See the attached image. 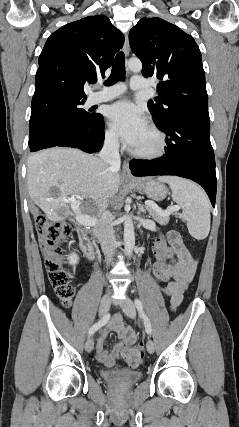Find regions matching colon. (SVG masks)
Wrapping results in <instances>:
<instances>
[{
	"instance_id": "1",
	"label": "colon",
	"mask_w": 239,
	"mask_h": 427,
	"mask_svg": "<svg viewBox=\"0 0 239 427\" xmlns=\"http://www.w3.org/2000/svg\"><path fill=\"white\" fill-rule=\"evenodd\" d=\"M36 229L40 238L41 250L45 259L48 278L56 295L63 306L69 307L74 296V287L69 282V274L63 266L62 243L71 233V226L67 222H54L44 215L35 218ZM159 235L152 243L153 256L156 257L151 273L154 276L158 292H165L166 285L171 275V254L168 252L169 232L159 230ZM144 356L141 345L125 348L121 351V357L131 366H138Z\"/></svg>"
}]
</instances>
